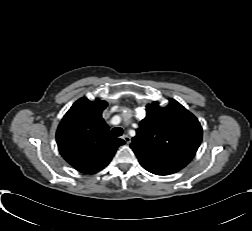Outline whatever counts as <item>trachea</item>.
Returning a JSON list of instances; mask_svg holds the SVG:
<instances>
[{"mask_svg":"<svg viewBox=\"0 0 252 231\" xmlns=\"http://www.w3.org/2000/svg\"><path fill=\"white\" fill-rule=\"evenodd\" d=\"M123 134V129L120 127H115L112 129V135L114 136H121Z\"/></svg>","mask_w":252,"mask_h":231,"instance_id":"obj_1","label":"trachea"}]
</instances>
